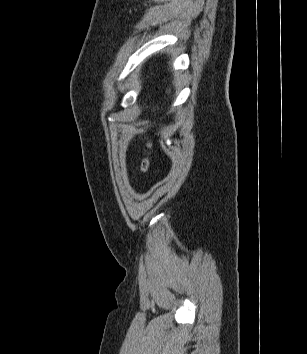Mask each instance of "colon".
Masks as SVG:
<instances>
[{"label": "colon", "instance_id": "1", "mask_svg": "<svg viewBox=\"0 0 307 354\" xmlns=\"http://www.w3.org/2000/svg\"><path fill=\"white\" fill-rule=\"evenodd\" d=\"M147 146L150 149L152 144L149 142ZM149 165H150L149 158L148 157L144 158L143 161H142V166H141L142 171L146 172L148 170V168H149Z\"/></svg>", "mask_w": 307, "mask_h": 354}]
</instances>
